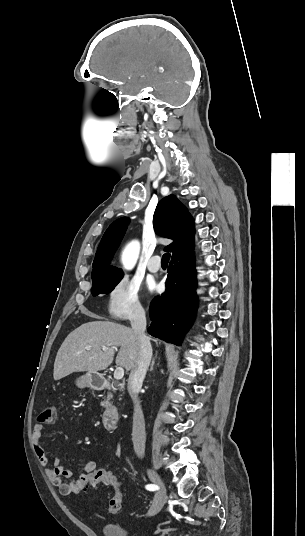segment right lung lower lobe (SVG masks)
<instances>
[{
	"mask_svg": "<svg viewBox=\"0 0 305 536\" xmlns=\"http://www.w3.org/2000/svg\"><path fill=\"white\" fill-rule=\"evenodd\" d=\"M193 250L171 259L166 291L153 299L149 312L152 320L148 332L157 338L179 345L191 327L198 299Z\"/></svg>",
	"mask_w": 305,
	"mask_h": 536,
	"instance_id": "1",
	"label": "right lung lower lobe"
}]
</instances>
